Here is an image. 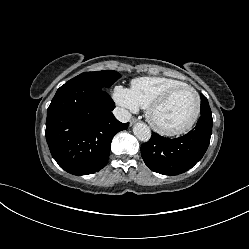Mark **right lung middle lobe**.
I'll list each match as a JSON object with an SVG mask.
<instances>
[{"label":"right lung middle lobe","instance_id":"obj_1","mask_svg":"<svg viewBox=\"0 0 249 249\" xmlns=\"http://www.w3.org/2000/svg\"><path fill=\"white\" fill-rule=\"evenodd\" d=\"M120 77V74L116 71L105 70L82 73L76 76L75 78L71 79L70 82L81 81L95 85L100 89H105L110 87Z\"/></svg>","mask_w":249,"mask_h":249}]
</instances>
